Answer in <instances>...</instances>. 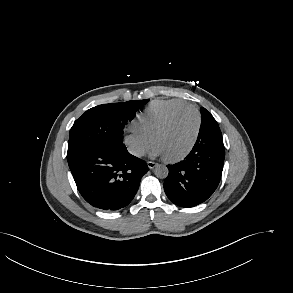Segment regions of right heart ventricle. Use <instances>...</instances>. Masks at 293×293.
I'll list each match as a JSON object with an SVG mask.
<instances>
[{
  "mask_svg": "<svg viewBox=\"0 0 293 293\" xmlns=\"http://www.w3.org/2000/svg\"><path fill=\"white\" fill-rule=\"evenodd\" d=\"M190 105L182 99L154 100L133 121V129L151 138L157 127L175 110Z\"/></svg>",
  "mask_w": 293,
  "mask_h": 293,
  "instance_id": "obj_1",
  "label": "right heart ventricle"
}]
</instances>
